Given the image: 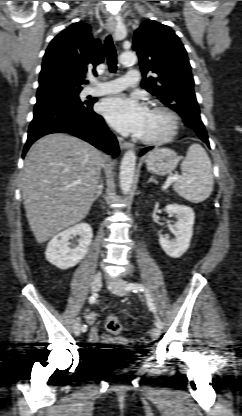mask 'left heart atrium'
<instances>
[{"label":"left heart atrium","instance_id":"1","mask_svg":"<svg viewBox=\"0 0 242 416\" xmlns=\"http://www.w3.org/2000/svg\"><path fill=\"white\" fill-rule=\"evenodd\" d=\"M100 110L117 131L137 136L142 132L148 113L147 107L139 99L124 94L104 100Z\"/></svg>","mask_w":242,"mask_h":416}]
</instances>
